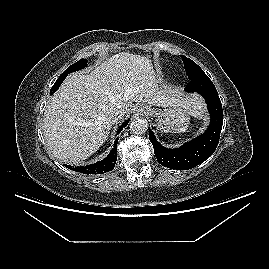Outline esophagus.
<instances>
[{"mask_svg":"<svg viewBox=\"0 0 269 269\" xmlns=\"http://www.w3.org/2000/svg\"><path fill=\"white\" fill-rule=\"evenodd\" d=\"M148 111L142 106L138 105L135 109V115H146Z\"/></svg>","mask_w":269,"mask_h":269,"instance_id":"esophagus-1","label":"esophagus"}]
</instances>
